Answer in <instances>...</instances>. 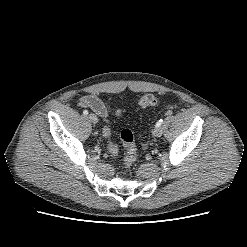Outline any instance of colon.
<instances>
[{"mask_svg":"<svg viewBox=\"0 0 247 247\" xmlns=\"http://www.w3.org/2000/svg\"><path fill=\"white\" fill-rule=\"evenodd\" d=\"M158 102V98L156 95L148 93L143 95L139 100V108L142 110H145L149 107H152L156 105ZM117 115L120 114V112L116 113ZM103 135L109 140L111 135L110 126L107 123L103 129ZM120 139L122 142V145L126 149V154L124 157V165L127 170H129L134 162L137 159V147L135 143V137L133 132L130 129H123L120 134ZM108 148L111 153H117L118 147L117 145L110 143L108 144Z\"/></svg>","mask_w":247,"mask_h":247,"instance_id":"colon-1","label":"colon"}]
</instances>
